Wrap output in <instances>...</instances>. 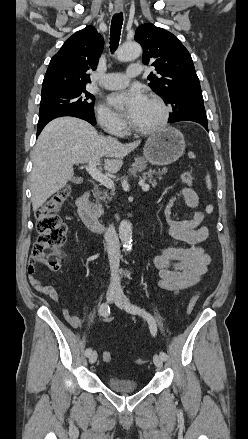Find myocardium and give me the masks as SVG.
<instances>
[{
  "label": "myocardium",
  "mask_w": 248,
  "mask_h": 439,
  "mask_svg": "<svg viewBox=\"0 0 248 439\" xmlns=\"http://www.w3.org/2000/svg\"><path fill=\"white\" fill-rule=\"evenodd\" d=\"M147 99L154 102L155 104H157L160 107L161 112H162V116H161L160 120L158 121V123H156L155 125L148 127V128L138 127L133 122H131V124H130L131 130L139 135H150V134L156 133L158 131H161L162 129H164L166 127V125L169 122V118H170V108L164 102L163 99H161L157 95H150Z\"/></svg>",
  "instance_id": "myocardium-1"
}]
</instances>
